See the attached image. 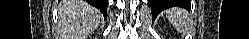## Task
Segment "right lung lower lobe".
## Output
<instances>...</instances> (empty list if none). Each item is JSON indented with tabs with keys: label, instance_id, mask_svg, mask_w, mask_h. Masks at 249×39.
I'll use <instances>...</instances> for the list:
<instances>
[{
	"label": "right lung lower lobe",
	"instance_id": "obj_1",
	"mask_svg": "<svg viewBox=\"0 0 249 39\" xmlns=\"http://www.w3.org/2000/svg\"><path fill=\"white\" fill-rule=\"evenodd\" d=\"M88 2L99 9L101 13L106 17L108 0H88Z\"/></svg>",
	"mask_w": 249,
	"mask_h": 39
}]
</instances>
